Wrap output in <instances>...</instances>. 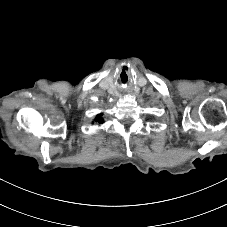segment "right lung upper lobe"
<instances>
[{"mask_svg": "<svg viewBox=\"0 0 227 227\" xmlns=\"http://www.w3.org/2000/svg\"><path fill=\"white\" fill-rule=\"evenodd\" d=\"M101 115H102V114H99V115H97L96 118H95V121H96L97 123H99V124H100V123H103V119H102Z\"/></svg>", "mask_w": 227, "mask_h": 227, "instance_id": "cb5924a9", "label": "right lung upper lobe"}]
</instances>
